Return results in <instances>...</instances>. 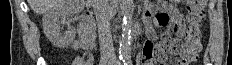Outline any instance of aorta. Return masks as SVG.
<instances>
[{"instance_id":"1","label":"aorta","mask_w":232,"mask_h":65,"mask_svg":"<svg viewBox=\"0 0 232 65\" xmlns=\"http://www.w3.org/2000/svg\"><path fill=\"white\" fill-rule=\"evenodd\" d=\"M119 2L121 16L123 19L119 52L122 57H128L131 52V30L133 27L134 4L133 0H119Z\"/></svg>"}]
</instances>
